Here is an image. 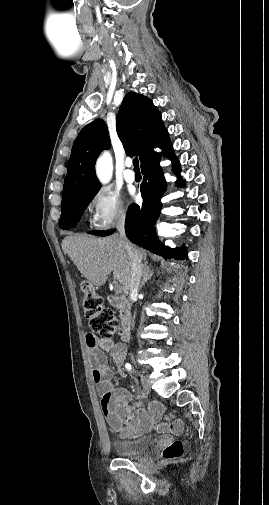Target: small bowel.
Instances as JSON below:
<instances>
[{"instance_id":"small-bowel-1","label":"small bowel","mask_w":269,"mask_h":505,"mask_svg":"<svg viewBox=\"0 0 269 505\" xmlns=\"http://www.w3.org/2000/svg\"><path fill=\"white\" fill-rule=\"evenodd\" d=\"M86 344L93 365L92 376L101 397V410L111 430L122 439H135L146 432L180 434L183 423L172 416H164V406L151 402L147 409L133 402L132 393L112 382L113 370L105 352H110L117 370L123 375L126 347L112 338L86 334Z\"/></svg>"}]
</instances>
